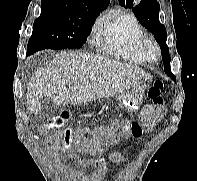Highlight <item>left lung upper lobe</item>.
<instances>
[{"label":"left lung upper lobe","mask_w":197,"mask_h":181,"mask_svg":"<svg viewBox=\"0 0 197 181\" xmlns=\"http://www.w3.org/2000/svg\"><path fill=\"white\" fill-rule=\"evenodd\" d=\"M119 4L125 8H132L139 22L155 35L156 41L159 43L162 52L164 71L175 80V76L170 70L171 58L169 55V48L166 45V29L159 21V3L156 0H119Z\"/></svg>","instance_id":"1"}]
</instances>
